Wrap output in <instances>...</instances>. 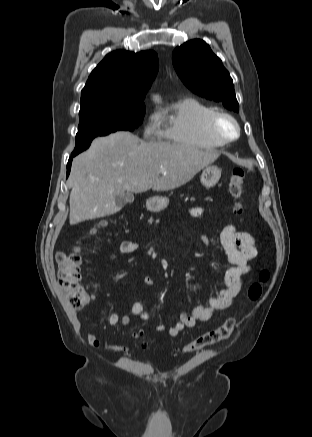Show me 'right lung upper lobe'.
Masks as SVG:
<instances>
[{
    "label": "right lung upper lobe",
    "instance_id": "obj_1",
    "mask_svg": "<svg viewBox=\"0 0 312 437\" xmlns=\"http://www.w3.org/2000/svg\"><path fill=\"white\" fill-rule=\"evenodd\" d=\"M157 71L158 58L154 51H114L91 72L81 92V108L144 105L145 94Z\"/></svg>",
    "mask_w": 312,
    "mask_h": 437
}]
</instances>
